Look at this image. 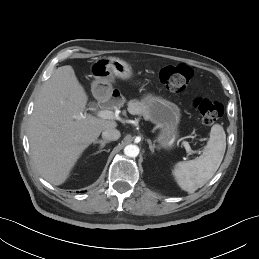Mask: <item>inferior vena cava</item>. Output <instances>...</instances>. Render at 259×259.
Returning <instances> with one entry per match:
<instances>
[{
    "label": "inferior vena cava",
    "instance_id": "602c4592",
    "mask_svg": "<svg viewBox=\"0 0 259 259\" xmlns=\"http://www.w3.org/2000/svg\"><path fill=\"white\" fill-rule=\"evenodd\" d=\"M102 138L108 141H116L120 138V132L115 129H106L102 132Z\"/></svg>",
    "mask_w": 259,
    "mask_h": 259
}]
</instances>
